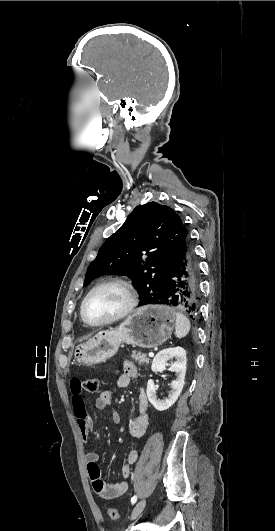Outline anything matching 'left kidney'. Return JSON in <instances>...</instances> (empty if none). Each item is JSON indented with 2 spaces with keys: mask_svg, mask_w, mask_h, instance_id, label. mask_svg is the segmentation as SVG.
<instances>
[{
  "mask_svg": "<svg viewBox=\"0 0 275 531\" xmlns=\"http://www.w3.org/2000/svg\"><path fill=\"white\" fill-rule=\"evenodd\" d=\"M177 359L176 363H173L170 367V371H174L176 373L177 379L175 381H172L170 383L171 389H173L172 393L168 395V399H164V401H159L156 397V387L154 385V381L152 379H149L147 383V397L148 401H150L151 405L157 409V411H166V409H169V407H172L174 403H176L185 383V375H186V351L185 349H182V347H174V349H163V351H159L157 353L156 357L153 359L152 363V371L153 373H158V371H164L166 369V365H168L167 361L169 359Z\"/></svg>",
  "mask_w": 275,
  "mask_h": 531,
  "instance_id": "left-kidney-1",
  "label": "left kidney"
}]
</instances>
